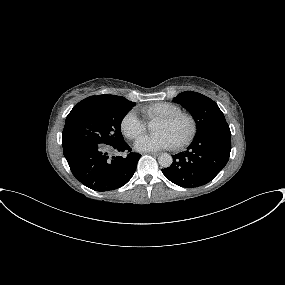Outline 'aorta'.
<instances>
[{
	"mask_svg": "<svg viewBox=\"0 0 285 285\" xmlns=\"http://www.w3.org/2000/svg\"><path fill=\"white\" fill-rule=\"evenodd\" d=\"M158 162H159L160 166L167 168V167L171 166L173 159H172V156L170 154L162 153L158 157Z\"/></svg>",
	"mask_w": 285,
	"mask_h": 285,
	"instance_id": "1",
	"label": "aorta"
}]
</instances>
